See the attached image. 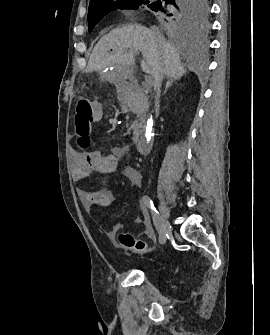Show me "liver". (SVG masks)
Returning a JSON list of instances; mask_svg holds the SVG:
<instances>
[{
  "mask_svg": "<svg viewBox=\"0 0 270 335\" xmlns=\"http://www.w3.org/2000/svg\"><path fill=\"white\" fill-rule=\"evenodd\" d=\"M137 52L144 58L141 68L145 74H164L177 80L186 74L178 48L172 42H165L163 36L155 38L151 30L141 24H129L102 36L93 48L86 72H103L115 66L122 78H130Z\"/></svg>",
  "mask_w": 270,
  "mask_h": 335,
  "instance_id": "1",
  "label": "liver"
}]
</instances>
